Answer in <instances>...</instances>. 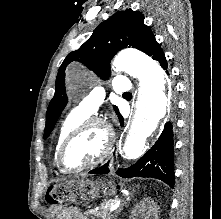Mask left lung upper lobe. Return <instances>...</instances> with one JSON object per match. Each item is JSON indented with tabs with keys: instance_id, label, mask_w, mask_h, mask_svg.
<instances>
[{
	"instance_id": "obj_1",
	"label": "left lung upper lobe",
	"mask_w": 221,
	"mask_h": 219,
	"mask_svg": "<svg viewBox=\"0 0 221 219\" xmlns=\"http://www.w3.org/2000/svg\"><path fill=\"white\" fill-rule=\"evenodd\" d=\"M153 32L144 24V16L131 9L117 11L109 19L99 24L91 37L80 47L67 55L59 68L56 78L55 94L50 101L46 113L44 139L54 128V125L67 104L65 92V69L72 61H78L93 70L102 79L110 75V60L122 48L134 47L152 56L156 47ZM114 109L119 117L118 108Z\"/></svg>"
}]
</instances>
